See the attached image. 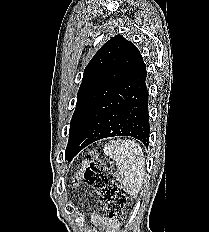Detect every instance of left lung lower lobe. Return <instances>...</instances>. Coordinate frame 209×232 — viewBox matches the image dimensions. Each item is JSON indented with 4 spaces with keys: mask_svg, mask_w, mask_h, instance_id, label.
Returning a JSON list of instances; mask_svg holds the SVG:
<instances>
[{
    "mask_svg": "<svg viewBox=\"0 0 209 232\" xmlns=\"http://www.w3.org/2000/svg\"><path fill=\"white\" fill-rule=\"evenodd\" d=\"M146 66L138 51L133 65L111 95L95 106L71 138V161L89 144L107 137L130 136L149 144L148 89Z\"/></svg>",
    "mask_w": 209,
    "mask_h": 232,
    "instance_id": "left-lung-lower-lobe-1",
    "label": "left lung lower lobe"
}]
</instances>
